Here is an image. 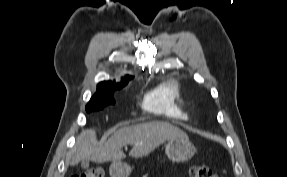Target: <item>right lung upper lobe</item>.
Returning <instances> with one entry per match:
<instances>
[{
	"mask_svg": "<svg viewBox=\"0 0 287 177\" xmlns=\"http://www.w3.org/2000/svg\"><path fill=\"white\" fill-rule=\"evenodd\" d=\"M132 79V76H125L124 78L121 79L120 82H112V81H104V82H100L98 84V86H101V87H115V86H119V85H123V84H127L128 81Z\"/></svg>",
	"mask_w": 287,
	"mask_h": 177,
	"instance_id": "1",
	"label": "right lung upper lobe"
}]
</instances>
